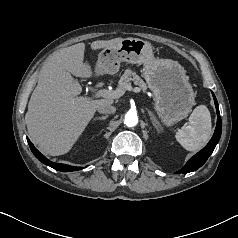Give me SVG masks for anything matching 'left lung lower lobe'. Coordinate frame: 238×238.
Wrapping results in <instances>:
<instances>
[{
  "label": "left lung lower lobe",
  "mask_w": 238,
  "mask_h": 238,
  "mask_svg": "<svg viewBox=\"0 0 238 238\" xmlns=\"http://www.w3.org/2000/svg\"><path fill=\"white\" fill-rule=\"evenodd\" d=\"M212 95L214 98L216 112H217V116H218L217 125H216L214 135L211 138V140L209 141V143L207 144V146L205 148H203L200 152H198L196 155H194L186 163V165L180 171L177 172V174L189 173V172L195 171L198 168H200L206 162L208 157L212 154L214 148L216 147V145L220 139L221 131H222V122H221V117L219 116L220 112H219V106H218L217 99H216L215 95L213 94V92H212Z\"/></svg>",
  "instance_id": "1"
}]
</instances>
